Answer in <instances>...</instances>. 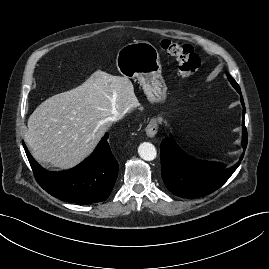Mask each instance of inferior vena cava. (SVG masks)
I'll return each instance as SVG.
<instances>
[{"instance_id":"1","label":"inferior vena cava","mask_w":269,"mask_h":269,"mask_svg":"<svg viewBox=\"0 0 269 269\" xmlns=\"http://www.w3.org/2000/svg\"><path fill=\"white\" fill-rule=\"evenodd\" d=\"M124 115L121 113H116L113 116L109 117V121L115 122L117 120H120Z\"/></svg>"}]
</instances>
